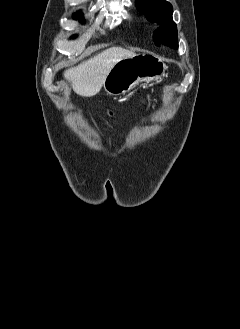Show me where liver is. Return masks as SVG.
I'll use <instances>...</instances> for the list:
<instances>
[{"label": "liver", "instance_id": "liver-1", "mask_svg": "<svg viewBox=\"0 0 240 329\" xmlns=\"http://www.w3.org/2000/svg\"><path fill=\"white\" fill-rule=\"evenodd\" d=\"M136 54L121 47H111L64 72L75 93L85 97L96 95L112 67L122 59Z\"/></svg>", "mask_w": 240, "mask_h": 329}]
</instances>
